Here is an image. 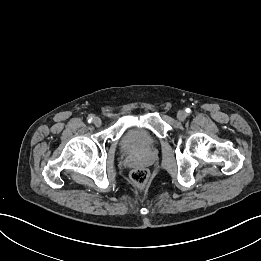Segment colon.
Instances as JSON below:
<instances>
[{
  "label": "colon",
  "instance_id": "5ec220e1",
  "mask_svg": "<svg viewBox=\"0 0 261 261\" xmlns=\"http://www.w3.org/2000/svg\"><path fill=\"white\" fill-rule=\"evenodd\" d=\"M148 172L144 168H136L131 173V179L137 186H144L148 180Z\"/></svg>",
  "mask_w": 261,
  "mask_h": 261
}]
</instances>
